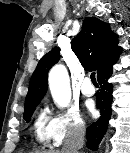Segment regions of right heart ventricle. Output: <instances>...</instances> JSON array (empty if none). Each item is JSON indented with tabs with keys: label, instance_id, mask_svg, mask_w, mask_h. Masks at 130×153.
Here are the masks:
<instances>
[{
	"label": "right heart ventricle",
	"instance_id": "obj_1",
	"mask_svg": "<svg viewBox=\"0 0 130 153\" xmlns=\"http://www.w3.org/2000/svg\"><path fill=\"white\" fill-rule=\"evenodd\" d=\"M33 133L37 143L42 146L48 145L53 139L52 119L49 118L45 110H42L36 117Z\"/></svg>",
	"mask_w": 130,
	"mask_h": 153
}]
</instances>
